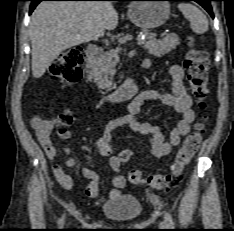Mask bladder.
<instances>
[{"label": "bladder", "mask_w": 234, "mask_h": 231, "mask_svg": "<svg viewBox=\"0 0 234 231\" xmlns=\"http://www.w3.org/2000/svg\"><path fill=\"white\" fill-rule=\"evenodd\" d=\"M143 210L141 202L134 196L120 194L102 207V212L111 220L127 222L140 217Z\"/></svg>", "instance_id": "31cf9c89"}]
</instances>
